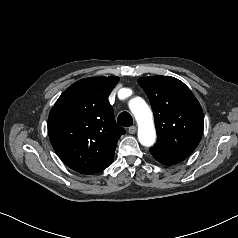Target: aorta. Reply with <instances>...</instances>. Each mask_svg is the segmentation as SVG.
<instances>
[{
    "mask_svg": "<svg viewBox=\"0 0 238 238\" xmlns=\"http://www.w3.org/2000/svg\"><path fill=\"white\" fill-rule=\"evenodd\" d=\"M129 108L138 124L139 142L146 147L152 146L156 141V130L151 109L140 97L130 100Z\"/></svg>",
    "mask_w": 238,
    "mask_h": 238,
    "instance_id": "1",
    "label": "aorta"
}]
</instances>
